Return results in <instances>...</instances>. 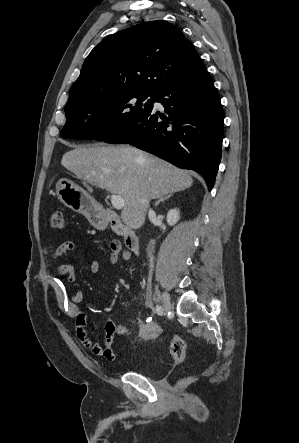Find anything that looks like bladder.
<instances>
[{"mask_svg":"<svg viewBox=\"0 0 299 443\" xmlns=\"http://www.w3.org/2000/svg\"><path fill=\"white\" fill-rule=\"evenodd\" d=\"M133 366V371L139 374H142L144 376L149 377L151 375V370L149 367H143V366Z\"/></svg>","mask_w":299,"mask_h":443,"instance_id":"obj_1","label":"bladder"}]
</instances>
